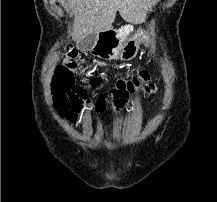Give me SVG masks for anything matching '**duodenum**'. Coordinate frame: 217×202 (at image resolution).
Masks as SVG:
<instances>
[{
  "instance_id": "duodenum-1",
  "label": "duodenum",
  "mask_w": 217,
  "mask_h": 202,
  "mask_svg": "<svg viewBox=\"0 0 217 202\" xmlns=\"http://www.w3.org/2000/svg\"><path fill=\"white\" fill-rule=\"evenodd\" d=\"M121 37L116 30L106 29L101 31L91 50L94 56L111 59L115 57Z\"/></svg>"
}]
</instances>
